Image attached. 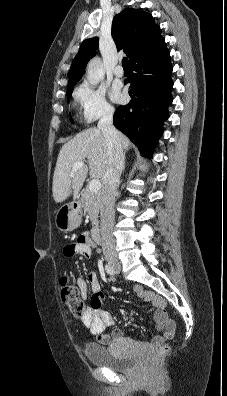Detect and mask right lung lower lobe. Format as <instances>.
Segmentation results:
<instances>
[{
    "label": "right lung lower lobe",
    "mask_w": 227,
    "mask_h": 396,
    "mask_svg": "<svg viewBox=\"0 0 227 396\" xmlns=\"http://www.w3.org/2000/svg\"><path fill=\"white\" fill-rule=\"evenodd\" d=\"M131 73L125 83H131L132 100L119 106L113 117L116 128L127 135L149 156L163 133V123L169 117L168 106L172 102V65L164 39L143 50L130 62Z\"/></svg>",
    "instance_id": "right-lung-lower-lobe-1"
}]
</instances>
